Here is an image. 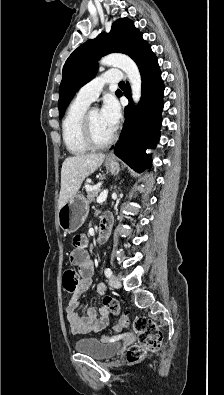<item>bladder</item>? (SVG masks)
<instances>
[{"label": "bladder", "mask_w": 224, "mask_h": 395, "mask_svg": "<svg viewBox=\"0 0 224 395\" xmlns=\"http://www.w3.org/2000/svg\"><path fill=\"white\" fill-rule=\"evenodd\" d=\"M75 349L77 352L89 355L95 360H107L119 351L116 343L89 337L78 339L75 342Z\"/></svg>", "instance_id": "obj_1"}]
</instances>
